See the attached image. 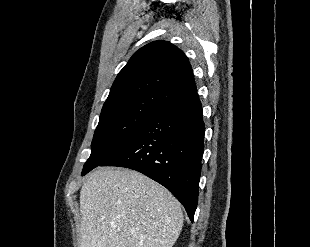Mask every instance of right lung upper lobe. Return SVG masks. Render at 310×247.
<instances>
[{
    "label": "right lung upper lobe",
    "mask_w": 310,
    "mask_h": 247,
    "mask_svg": "<svg viewBox=\"0 0 310 247\" xmlns=\"http://www.w3.org/2000/svg\"><path fill=\"white\" fill-rule=\"evenodd\" d=\"M197 92L188 58L173 44L140 48L117 75L101 115L134 106L165 107Z\"/></svg>",
    "instance_id": "right-lung-upper-lobe-1"
}]
</instances>
